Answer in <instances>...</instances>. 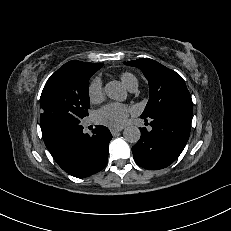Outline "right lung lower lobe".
Listing matches in <instances>:
<instances>
[{"label": "right lung lower lobe", "mask_w": 231, "mask_h": 231, "mask_svg": "<svg viewBox=\"0 0 231 231\" xmlns=\"http://www.w3.org/2000/svg\"><path fill=\"white\" fill-rule=\"evenodd\" d=\"M92 133L84 134L80 123L71 124L44 137V142L65 172L83 178L101 171L108 160L110 131L97 125Z\"/></svg>", "instance_id": "1"}]
</instances>
